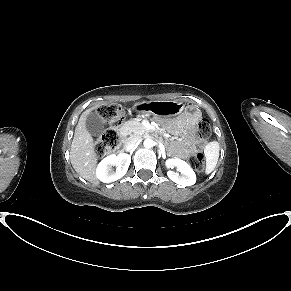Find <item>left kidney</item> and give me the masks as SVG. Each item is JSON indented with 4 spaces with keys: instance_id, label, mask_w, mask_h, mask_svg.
<instances>
[{
    "instance_id": "left-kidney-1",
    "label": "left kidney",
    "mask_w": 291,
    "mask_h": 291,
    "mask_svg": "<svg viewBox=\"0 0 291 291\" xmlns=\"http://www.w3.org/2000/svg\"><path fill=\"white\" fill-rule=\"evenodd\" d=\"M165 165L168 169L177 168L178 172L172 170L167 172L168 177L175 183L182 186H191L196 183V174L187 162L172 158L168 159Z\"/></svg>"
}]
</instances>
